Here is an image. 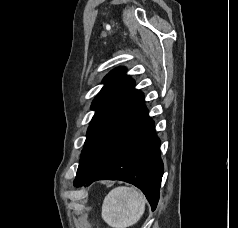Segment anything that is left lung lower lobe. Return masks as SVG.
I'll return each mask as SVG.
<instances>
[{
    "label": "left lung lower lobe",
    "instance_id": "0a47b994",
    "mask_svg": "<svg viewBox=\"0 0 238 228\" xmlns=\"http://www.w3.org/2000/svg\"><path fill=\"white\" fill-rule=\"evenodd\" d=\"M160 140L144 102L120 129L100 164L89 175L76 176L74 186L93 181L122 180L141 189L154 211L163 175Z\"/></svg>",
    "mask_w": 238,
    "mask_h": 228
}]
</instances>
